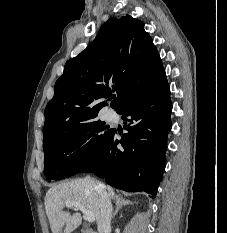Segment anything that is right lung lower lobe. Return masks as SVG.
<instances>
[{
	"label": "right lung lower lobe",
	"mask_w": 227,
	"mask_h": 233,
	"mask_svg": "<svg viewBox=\"0 0 227 233\" xmlns=\"http://www.w3.org/2000/svg\"><path fill=\"white\" fill-rule=\"evenodd\" d=\"M171 111L170 88L165 79L119 112L128 133L119 135L112 129L98 155L80 173L93 172L113 187L144 191L154 198L166 165ZM118 144L122 148H117Z\"/></svg>",
	"instance_id": "right-lung-lower-lobe-1"
}]
</instances>
